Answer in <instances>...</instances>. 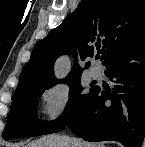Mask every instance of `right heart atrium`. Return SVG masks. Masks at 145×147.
I'll return each instance as SVG.
<instances>
[{"instance_id": "obj_1", "label": "right heart atrium", "mask_w": 145, "mask_h": 147, "mask_svg": "<svg viewBox=\"0 0 145 147\" xmlns=\"http://www.w3.org/2000/svg\"><path fill=\"white\" fill-rule=\"evenodd\" d=\"M72 88L67 84H54L42 92L43 112L48 122L60 120L68 111Z\"/></svg>"}]
</instances>
